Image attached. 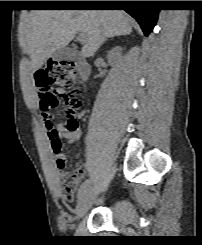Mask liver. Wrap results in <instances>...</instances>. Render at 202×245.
<instances>
[{
	"instance_id": "6515ba94",
	"label": "liver",
	"mask_w": 202,
	"mask_h": 245,
	"mask_svg": "<svg viewBox=\"0 0 202 245\" xmlns=\"http://www.w3.org/2000/svg\"><path fill=\"white\" fill-rule=\"evenodd\" d=\"M133 20L120 10H36L20 35V46L39 69L58 49L82 32L86 36L83 57L95 54L106 38L129 35Z\"/></svg>"
}]
</instances>
